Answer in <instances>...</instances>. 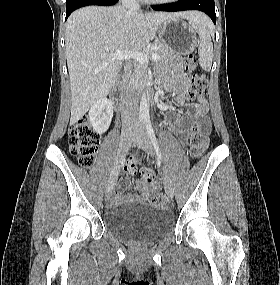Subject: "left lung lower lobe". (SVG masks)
Returning <instances> with one entry per match:
<instances>
[{"mask_svg":"<svg viewBox=\"0 0 280 285\" xmlns=\"http://www.w3.org/2000/svg\"><path fill=\"white\" fill-rule=\"evenodd\" d=\"M152 8L156 11H184L199 10L205 12L216 24L215 4L214 0H179L172 4L155 5Z\"/></svg>","mask_w":280,"mask_h":285,"instance_id":"1","label":"left lung lower lobe"}]
</instances>
